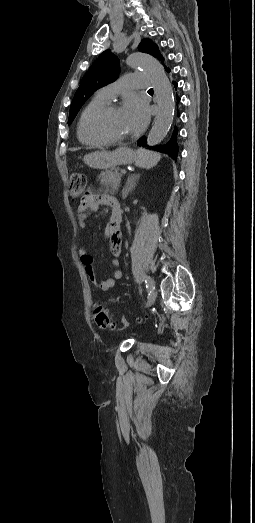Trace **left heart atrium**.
Segmentation results:
<instances>
[{
    "instance_id": "obj_1",
    "label": "left heart atrium",
    "mask_w": 255,
    "mask_h": 523,
    "mask_svg": "<svg viewBox=\"0 0 255 523\" xmlns=\"http://www.w3.org/2000/svg\"><path fill=\"white\" fill-rule=\"evenodd\" d=\"M125 107L131 114L134 133L140 132L150 117L148 104L135 96H131L128 98Z\"/></svg>"
}]
</instances>
